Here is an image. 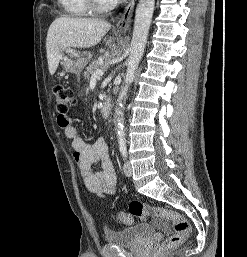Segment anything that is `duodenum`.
I'll list each match as a JSON object with an SVG mask.
<instances>
[{
  "label": "duodenum",
  "instance_id": "obj_1",
  "mask_svg": "<svg viewBox=\"0 0 247 257\" xmlns=\"http://www.w3.org/2000/svg\"><path fill=\"white\" fill-rule=\"evenodd\" d=\"M111 114V104L109 100H105L101 107V115L104 119H108Z\"/></svg>",
  "mask_w": 247,
  "mask_h": 257
}]
</instances>
